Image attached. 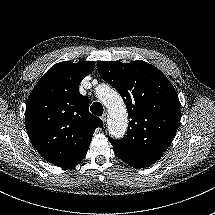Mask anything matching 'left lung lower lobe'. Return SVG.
I'll use <instances>...</instances> for the list:
<instances>
[{
	"label": "left lung lower lobe",
	"instance_id": "1",
	"mask_svg": "<svg viewBox=\"0 0 215 215\" xmlns=\"http://www.w3.org/2000/svg\"><path fill=\"white\" fill-rule=\"evenodd\" d=\"M114 153L124 162L135 168H144L156 162L163 153L152 155H140L126 153L113 146Z\"/></svg>",
	"mask_w": 215,
	"mask_h": 215
}]
</instances>
